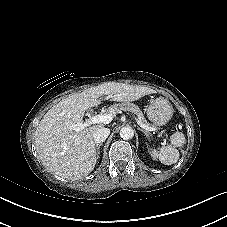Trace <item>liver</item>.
I'll return each instance as SVG.
<instances>
[{"label":"liver","mask_w":227,"mask_h":227,"mask_svg":"<svg viewBox=\"0 0 227 227\" xmlns=\"http://www.w3.org/2000/svg\"><path fill=\"white\" fill-rule=\"evenodd\" d=\"M148 87L106 83L75 93L54 105L43 116L35 131V146L43 165L61 178L79 180L93 171L97 162L93 134L103 124L78 132L70 126L81 123L86 110L99 104L102 95L113 101H136L153 94Z\"/></svg>","instance_id":"6515ba94"}]
</instances>
